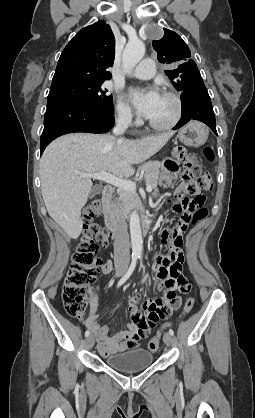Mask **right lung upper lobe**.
I'll use <instances>...</instances> for the list:
<instances>
[{
	"mask_svg": "<svg viewBox=\"0 0 255 418\" xmlns=\"http://www.w3.org/2000/svg\"><path fill=\"white\" fill-rule=\"evenodd\" d=\"M115 38L105 21L81 29L64 48L52 85L72 81L104 82L111 78Z\"/></svg>",
	"mask_w": 255,
	"mask_h": 418,
	"instance_id": "1",
	"label": "right lung upper lobe"
}]
</instances>
